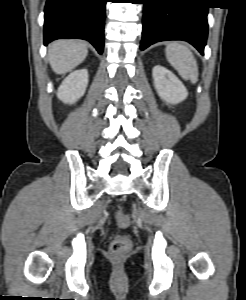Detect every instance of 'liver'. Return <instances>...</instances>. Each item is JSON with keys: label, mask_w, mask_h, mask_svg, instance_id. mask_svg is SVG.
<instances>
[{"label": "liver", "mask_w": 246, "mask_h": 300, "mask_svg": "<svg viewBox=\"0 0 246 300\" xmlns=\"http://www.w3.org/2000/svg\"><path fill=\"white\" fill-rule=\"evenodd\" d=\"M87 54V45L84 42L60 39L49 45L48 60L56 74H64L81 64Z\"/></svg>", "instance_id": "6515ba94"}]
</instances>
